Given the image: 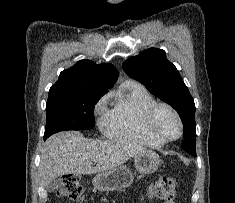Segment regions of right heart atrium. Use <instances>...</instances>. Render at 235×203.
<instances>
[{"label":"right heart atrium","mask_w":235,"mask_h":203,"mask_svg":"<svg viewBox=\"0 0 235 203\" xmlns=\"http://www.w3.org/2000/svg\"><path fill=\"white\" fill-rule=\"evenodd\" d=\"M107 101H108V95H105L102 98H100V100L95 105V112L98 114L103 113L106 109Z\"/></svg>","instance_id":"d8ad5b80"}]
</instances>
